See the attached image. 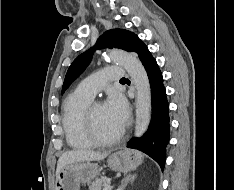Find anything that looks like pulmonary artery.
<instances>
[{
    "instance_id": "pulmonary-artery-1",
    "label": "pulmonary artery",
    "mask_w": 234,
    "mask_h": 190,
    "mask_svg": "<svg viewBox=\"0 0 234 190\" xmlns=\"http://www.w3.org/2000/svg\"><path fill=\"white\" fill-rule=\"evenodd\" d=\"M126 73V68L122 66H105L95 74L81 81L75 91L94 98L104 85L109 82L121 80Z\"/></svg>"
}]
</instances>
